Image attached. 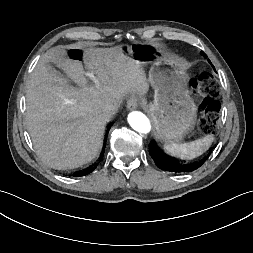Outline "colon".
Returning <instances> with one entry per match:
<instances>
[{
  "mask_svg": "<svg viewBox=\"0 0 253 253\" xmlns=\"http://www.w3.org/2000/svg\"><path fill=\"white\" fill-rule=\"evenodd\" d=\"M80 55L81 53L78 50L69 51L71 58L78 59ZM194 88L196 93L203 98L199 129L203 134H213L217 128L220 112L216 82L211 74L204 72L197 77Z\"/></svg>",
  "mask_w": 253,
  "mask_h": 253,
  "instance_id": "obj_1",
  "label": "colon"
}]
</instances>
